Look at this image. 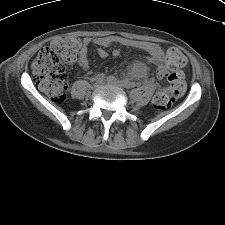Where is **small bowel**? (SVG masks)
<instances>
[{
	"label": "small bowel",
	"instance_id": "small-bowel-1",
	"mask_svg": "<svg viewBox=\"0 0 225 225\" xmlns=\"http://www.w3.org/2000/svg\"><path fill=\"white\" fill-rule=\"evenodd\" d=\"M94 42L98 46H100L97 50L98 55L101 58H105L108 56V52L105 50L106 47H109L113 40L111 38H96L92 39L89 37H85L82 40V47L79 50L78 54V65L81 70L85 71L89 67L88 62V46ZM140 49L146 52L149 55V62L153 65H159L162 62V50L160 47L154 43H145L141 45ZM113 57L117 58L120 56V51L115 49L112 52ZM133 74L135 76H145L147 74V68L144 65L138 66L133 70Z\"/></svg>",
	"mask_w": 225,
	"mask_h": 225
}]
</instances>
